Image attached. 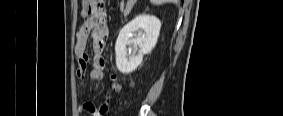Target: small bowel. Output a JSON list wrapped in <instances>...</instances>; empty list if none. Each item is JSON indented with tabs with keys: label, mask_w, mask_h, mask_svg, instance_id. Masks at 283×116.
Instances as JSON below:
<instances>
[{
	"label": "small bowel",
	"mask_w": 283,
	"mask_h": 116,
	"mask_svg": "<svg viewBox=\"0 0 283 116\" xmlns=\"http://www.w3.org/2000/svg\"><path fill=\"white\" fill-rule=\"evenodd\" d=\"M83 23L78 28L75 42V56L78 61L76 75L83 80L87 75L89 65V77L93 81H100L104 77L106 66L103 51L108 39V25L103 0L83 1ZM90 45L91 56L87 53ZM82 109L90 116H106L110 109V93L107 94L105 103L95 106L86 102Z\"/></svg>",
	"instance_id": "obj_1"
}]
</instances>
